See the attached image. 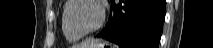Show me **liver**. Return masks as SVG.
<instances>
[{"mask_svg":"<svg viewBox=\"0 0 213 48\" xmlns=\"http://www.w3.org/2000/svg\"><path fill=\"white\" fill-rule=\"evenodd\" d=\"M96 43H97V40H86L83 43H81L80 45H78L77 48H88V47H92Z\"/></svg>","mask_w":213,"mask_h":48,"instance_id":"liver-1","label":"liver"}]
</instances>
